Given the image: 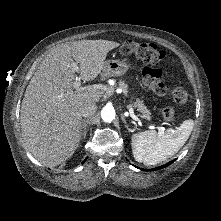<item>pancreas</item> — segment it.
I'll use <instances>...</instances> for the list:
<instances>
[{
	"instance_id": "1",
	"label": "pancreas",
	"mask_w": 221,
	"mask_h": 221,
	"mask_svg": "<svg viewBox=\"0 0 221 221\" xmlns=\"http://www.w3.org/2000/svg\"><path fill=\"white\" fill-rule=\"evenodd\" d=\"M119 87L123 90L124 94L128 93V86L125 84L124 81L119 82ZM135 107L137 110L141 113V117L144 119L149 120L151 118V112L147 109V107L144 105L143 101L141 100H136V102L130 107Z\"/></svg>"
}]
</instances>
